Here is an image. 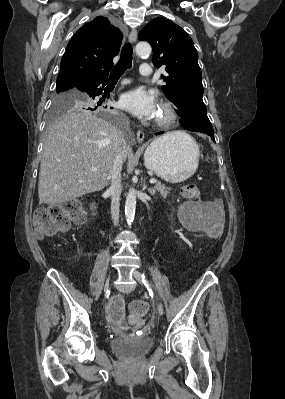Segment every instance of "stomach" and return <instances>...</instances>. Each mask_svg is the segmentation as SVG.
Wrapping results in <instances>:
<instances>
[{"mask_svg": "<svg viewBox=\"0 0 285 399\" xmlns=\"http://www.w3.org/2000/svg\"><path fill=\"white\" fill-rule=\"evenodd\" d=\"M198 162V145L184 132L180 138L162 136L155 139L144 154L146 168L170 183H179L191 177Z\"/></svg>", "mask_w": 285, "mask_h": 399, "instance_id": "1", "label": "stomach"}]
</instances>
